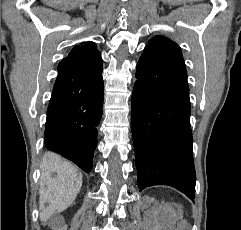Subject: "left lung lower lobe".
Wrapping results in <instances>:
<instances>
[{"mask_svg": "<svg viewBox=\"0 0 241 230\" xmlns=\"http://www.w3.org/2000/svg\"><path fill=\"white\" fill-rule=\"evenodd\" d=\"M131 120L138 187L169 185L195 198L187 73L142 55Z\"/></svg>", "mask_w": 241, "mask_h": 230, "instance_id": "0a47b994", "label": "left lung lower lobe"}]
</instances>
